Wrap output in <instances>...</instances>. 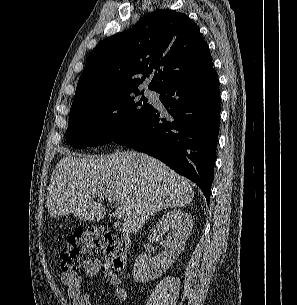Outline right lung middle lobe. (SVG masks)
<instances>
[{
    "label": "right lung middle lobe",
    "instance_id": "obj_1",
    "mask_svg": "<svg viewBox=\"0 0 297 305\" xmlns=\"http://www.w3.org/2000/svg\"><path fill=\"white\" fill-rule=\"evenodd\" d=\"M142 94L139 102L134 95ZM143 91H127L75 104L70 109L66 140L82 149L112 142L121 132L146 117L152 105Z\"/></svg>",
    "mask_w": 297,
    "mask_h": 305
}]
</instances>
